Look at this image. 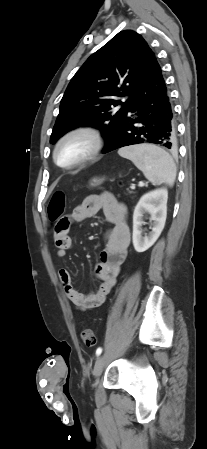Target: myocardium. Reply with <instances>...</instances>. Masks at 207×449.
Segmentation results:
<instances>
[{
  "label": "myocardium",
  "mask_w": 207,
  "mask_h": 449,
  "mask_svg": "<svg viewBox=\"0 0 207 449\" xmlns=\"http://www.w3.org/2000/svg\"><path fill=\"white\" fill-rule=\"evenodd\" d=\"M78 136L86 137L89 140L90 148H89L88 152L84 156H82L80 159H78L72 163L61 164L57 158L59 148L66 141H68L74 137H78ZM103 145H104V139H103L101 132L98 129H96L92 126H87V125L76 126V127H73L72 129L68 130L66 133H64L58 139V141L56 142L54 149H53V160H54L55 164L62 169H72V168L84 165V164L92 161L93 159H95L101 152Z\"/></svg>",
  "instance_id": "1"
}]
</instances>
